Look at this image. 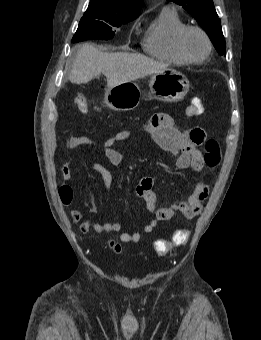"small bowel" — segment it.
Segmentation results:
<instances>
[{"mask_svg":"<svg viewBox=\"0 0 261 340\" xmlns=\"http://www.w3.org/2000/svg\"><path fill=\"white\" fill-rule=\"evenodd\" d=\"M133 133H145L151 136L157 146L171 155L176 168L191 167L196 172L207 171L203 155L197 148L206 138L205 131L197 127L180 130L175 126L173 118L165 113L156 114L150 122L137 129L122 130L108 137L102 148L111 165L118 166L122 162V155L114 149V146L129 138ZM95 145V142L87 136H74L68 142L70 149ZM92 169L100 175L105 189L109 190L112 185V173L98 162L92 163ZM61 172L65 180L72 179L68 163L62 166ZM208 193V184L199 181L186 201H178L171 206L157 208L153 178L148 176L141 178L136 188V194L145 201L148 211L155 215V218L144 226L143 231L151 233L159 222L170 220L176 212H180L187 219L195 218L202 211L203 202ZM70 217L73 222H80L79 229L82 234H87L90 230L97 233H119L122 231V224L119 222L98 223L93 219H84L83 213L77 209L71 212ZM119 238L123 243H137L141 239V234L139 232H122Z\"/></svg>","mask_w":261,"mask_h":340,"instance_id":"c3829d8e","label":"small bowel"}]
</instances>
